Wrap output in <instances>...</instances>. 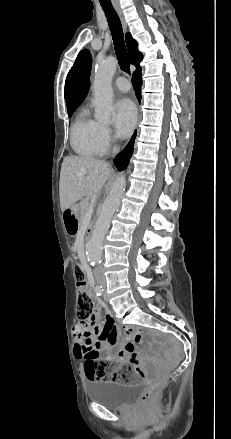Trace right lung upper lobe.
Segmentation results:
<instances>
[{"label": "right lung upper lobe", "mask_w": 231, "mask_h": 439, "mask_svg": "<svg viewBox=\"0 0 231 439\" xmlns=\"http://www.w3.org/2000/svg\"><path fill=\"white\" fill-rule=\"evenodd\" d=\"M126 45L130 57V61L136 66V69L140 67V61L142 60V54L137 50V42L132 36L127 33L125 36ZM92 66L91 56H87L82 63L76 74H68L65 82V87H68V91L65 90V100L68 110L77 108L85 99L90 88V72Z\"/></svg>", "instance_id": "obj_1"}]
</instances>
